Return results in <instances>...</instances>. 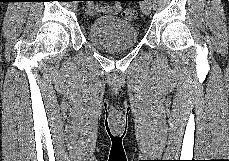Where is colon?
<instances>
[{"label": "colon", "instance_id": "colon-1", "mask_svg": "<svg viewBox=\"0 0 229 161\" xmlns=\"http://www.w3.org/2000/svg\"><path fill=\"white\" fill-rule=\"evenodd\" d=\"M123 17L128 20H133L137 16V11L134 8H126L122 13Z\"/></svg>", "mask_w": 229, "mask_h": 161}]
</instances>
